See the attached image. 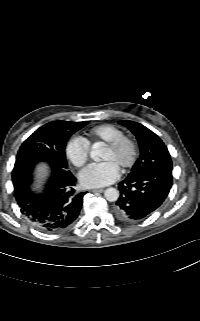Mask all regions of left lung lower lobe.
Wrapping results in <instances>:
<instances>
[{
    "label": "left lung lower lobe",
    "mask_w": 200,
    "mask_h": 321,
    "mask_svg": "<svg viewBox=\"0 0 200 321\" xmlns=\"http://www.w3.org/2000/svg\"><path fill=\"white\" fill-rule=\"evenodd\" d=\"M172 170L154 168L131 172L119 183L116 217L123 222L146 218L161 206L171 189Z\"/></svg>",
    "instance_id": "0a47b994"
}]
</instances>
